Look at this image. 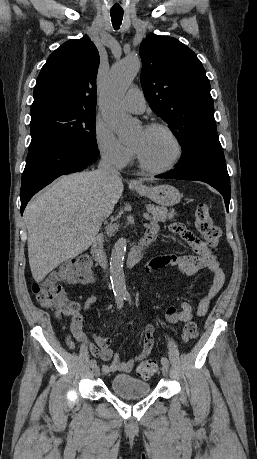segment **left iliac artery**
Here are the masks:
<instances>
[{
  "instance_id": "44dca946",
  "label": "left iliac artery",
  "mask_w": 257,
  "mask_h": 459,
  "mask_svg": "<svg viewBox=\"0 0 257 459\" xmlns=\"http://www.w3.org/2000/svg\"><path fill=\"white\" fill-rule=\"evenodd\" d=\"M125 299L130 300V296H129V295H126V296H125ZM161 363H162V365H167V366H169V360H168L166 357H162V358H161Z\"/></svg>"
}]
</instances>
